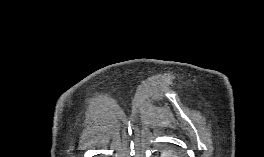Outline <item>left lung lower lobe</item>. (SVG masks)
<instances>
[{"mask_svg": "<svg viewBox=\"0 0 264 157\" xmlns=\"http://www.w3.org/2000/svg\"><path fill=\"white\" fill-rule=\"evenodd\" d=\"M160 157H175V156H166V155L162 154Z\"/></svg>", "mask_w": 264, "mask_h": 157, "instance_id": "left-lung-lower-lobe-1", "label": "left lung lower lobe"}]
</instances>
